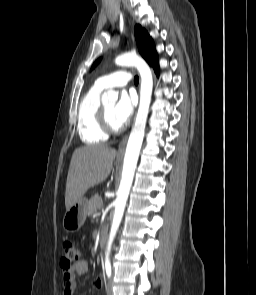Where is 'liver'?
<instances>
[{
	"label": "liver",
	"instance_id": "obj_1",
	"mask_svg": "<svg viewBox=\"0 0 256 295\" xmlns=\"http://www.w3.org/2000/svg\"><path fill=\"white\" fill-rule=\"evenodd\" d=\"M116 154V150L107 145L84 146L74 151L66 182V210L108 177Z\"/></svg>",
	"mask_w": 256,
	"mask_h": 295
}]
</instances>
